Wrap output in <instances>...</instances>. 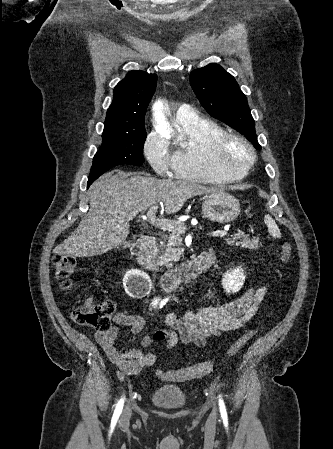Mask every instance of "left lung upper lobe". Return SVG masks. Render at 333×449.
Returning <instances> with one entry per match:
<instances>
[{
  "instance_id": "5c2ea615",
  "label": "left lung upper lobe",
  "mask_w": 333,
  "mask_h": 449,
  "mask_svg": "<svg viewBox=\"0 0 333 449\" xmlns=\"http://www.w3.org/2000/svg\"><path fill=\"white\" fill-rule=\"evenodd\" d=\"M190 83L199 101L211 116L237 129L256 149H261L246 96L232 75L218 64L212 63L192 71Z\"/></svg>"
}]
</instances>
